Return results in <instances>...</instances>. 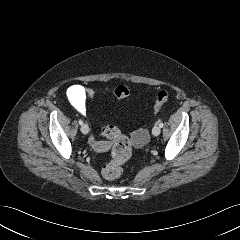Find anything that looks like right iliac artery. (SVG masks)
Masks as SVG:
<instances>
[{"instance_id": "82829eb1", "label": "right iliac artery", "mask_w": 240, "mask_h": 240, "mask_svg": "<svg viewBox=\"0 0 240 240\" xmlns=\"http://www.w3.org/2000/svg\"><path fill=\"white\" fill-rule=\"evenodd\" d=\"M80 125H83V121L82 120H79L78 121Z\"/></svg>"}]
</instances>
